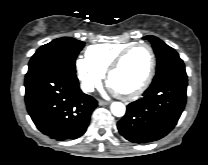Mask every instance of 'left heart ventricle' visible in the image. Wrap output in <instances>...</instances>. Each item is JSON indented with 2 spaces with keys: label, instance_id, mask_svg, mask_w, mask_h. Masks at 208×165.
Listing matches in <instances>:
<instances>
[{
  "label": "left heart ventricle",
  "instance_id": "left-heart-ventricle-1",
  "mask_svg": "<svg viewBox=\"0 0 208 165\" xmlns=\"http://www.w3.org/2000/svg\"><path fill=\"white\" fill-rule=\"evenodd\" d=\"M150 67V53L146 47L134 48L113 72L111 87L118 92H129L144 81Z\"/></svg>",
  "mask_w": 208,
  "mask_h": 165
}]
</instances>
